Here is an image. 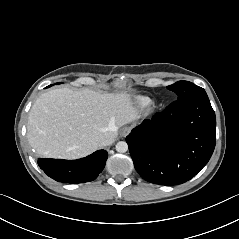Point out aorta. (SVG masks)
Wrapping results in <instances>:
<instances>
[{
  "label": "aorta",
  "instance_id": "1",
  "mask_svg": "<svg viewBox=\"0 0 239 239\" xmlns=\"http://www.w3.org/2000/svg\"><path fill=\"white\" fill-rule=\"evenodd\" d=\"M116 151L119 152V153H125L127 152L128 150V145L125 141H119L117 144H116Z\"/></svg>",
  "mask_w": 239,
  "mask_h": 239
}]
</instances>
